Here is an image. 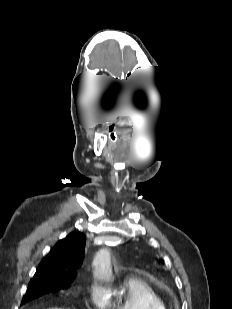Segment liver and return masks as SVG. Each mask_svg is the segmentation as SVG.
Segmentation results:
<instances>
[{
  "label": "liver",
  "mask_w": 232,
  "mask_h": 309,
  "mask_svg": "<svg viewBox=\"0 0 232 309\" xmlns=\"http://www.w3.org/2000/svg\"><path fill=\"white\" fill-rule=\"evenodd\" d=\"M50 309H59V308H50Z\"/></svg>",
  "instance_id": "obj_1"
}]
</instances>
